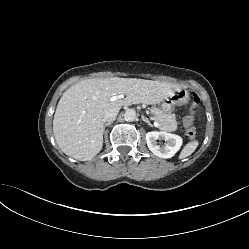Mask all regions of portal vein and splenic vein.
<instances>
[{
	"instance_id": "obj_1",
	"label": "portal vein and splenic vein",
	"mask_w": 249,
	"mask_h": 249,
	"mask_svg": "<svg viewBox=\"0 0 249 249\" xmlns=\"http://www.w3.org/2000/svg\"><path fill=\"white\" fill-rule=\"evenodd\" d=\"M122 98H124V95H123V94H121V95H116V96L111 97V98H110V101H111V102H114V101H116V100H118V99H122ZM154 126L157 127V128L160 127L159 124H158L156 121H154Z\"/></svg>"
}]
</instances>
